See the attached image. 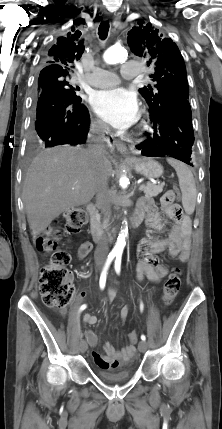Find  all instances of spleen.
I'll use <instances>...</instances> for the list:
<instances>
[{"label":"spleen","instance_id":"spleen-1","mask_svg":"<svg viewBox=\"0 0 222 429\" xmlns=\"http://www.w3.org/2000/svg\"><path fill=\"white\" fill-rule=\"evenodd\" d=\"M167 162L175 169L182 193V205L185 212L193 214L196 205L197 190L194 176L191 170L184 163L169 158Z\"/></svg>","mask_w":222,"mask_h":429}]
</instances>
